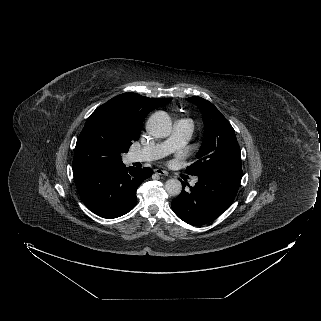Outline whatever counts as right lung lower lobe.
<instances>
[{
	"label": "right lung lower lobe",
	"instance_id": "obj_1",
	"mask_svg": "<svg viewBox=\"0 0 321 321\" xmlns=\"http://www.w3.org/2000/svg\"><path fill=\"white\" fill-rule=\"evenodd\" d=\"M78 193L93 213L107 219L120 217L132 210L139 185L152 176V169L116 165L73 172Z\"/></svg>",
	"mask_w": 321,
	"mask_h": 321
}]
</instances>
